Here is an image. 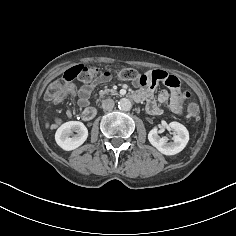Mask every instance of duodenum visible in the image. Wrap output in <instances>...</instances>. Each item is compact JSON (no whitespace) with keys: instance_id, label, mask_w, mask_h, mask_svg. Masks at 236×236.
<instances>
[{"instance_id":"duodenum-1","label":"duodenum","mask_w":236,"mask_h":236,"mask_svg":"<svg viewBox=\"0 0 236 236\" xmlns=\"http://www.w3.org/2000/svg\"><path fill=\"white\" fill-rule=\"evenodd\" d=\"M134 101L139 102L137 99H134ZM96 114V109L94 107H86L81 111V117L85 120L92 119Z\"/></svg>"}]
</instances>
